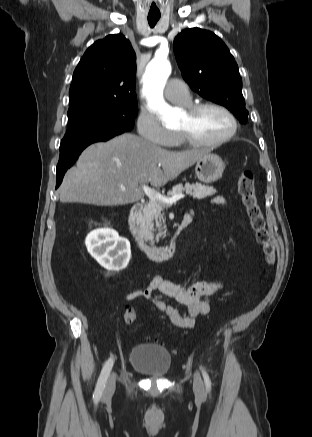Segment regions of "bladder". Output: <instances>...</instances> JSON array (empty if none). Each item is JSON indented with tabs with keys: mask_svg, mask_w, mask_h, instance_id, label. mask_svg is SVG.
Segmentation results:
<instances>
[{
	"mask_svg": "<svg viewBox=\"0 0 312 437\" xmlns=\"http://www.w3.org/2000/svg\"><path fill=\"white\" fill-rule=\"evenodd\" d=\"M171 354L162 345L139 344L130 352V366L153 378L165 377L171 368Z\"/></svg>",
	"mask_w": 312,
	"mask_h": 437,
	"instance_id": "bladder-1",
	"label": "bladder"
}]
</instances>
